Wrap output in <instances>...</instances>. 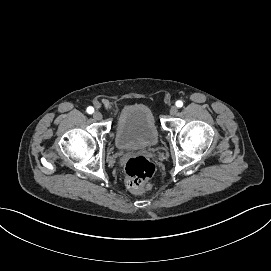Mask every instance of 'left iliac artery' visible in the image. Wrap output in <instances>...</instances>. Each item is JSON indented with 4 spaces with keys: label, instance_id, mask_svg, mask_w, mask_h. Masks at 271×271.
<instances>
[{
    "label": "left iliac artery",
    "instance_id": "44dca946",
    "mask_svg": "<svg viewBox=\"0 0 271 271\" xmlns=\"http://www.w3.org/2000/svg\"><path fill=\"white\" fill-rule=\"evenodd\" d=\"M176 106H177V107H182V106H183V102L180 101V100H178V101L176 102Z\"/></svg>",
    "mask_w": 271,
    "mask_h": 271
}]
</instances>
